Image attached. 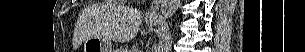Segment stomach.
<instances>
[{
    "mask_svg": "<svg viewBox=\"0 0 305 52\" xmlns=\"http://www.w3.org/2000/svg\"><path fill=\"white\" fill-rule=\"evenodd\" d=\"M155 25L156 22L149 23ZM83 52H113L110 40L101 37H90L84 40Z\"/></svg>",
    "mask_w": 305,
    "mask_h": 52,
    "instance_id": "0dacf381",
    "label": "stomach"
}]
</instances>
